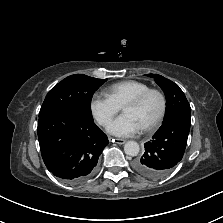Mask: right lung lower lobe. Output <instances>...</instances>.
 Returning <instances> with one entry per match:
<instances>
[{"instance_id": "obj_1", "label": "right lung lower lobe", "mask_w": 223, "mask_h": 223, "mask_svg": "<svg viewBox=\"0 0 223 223\" xmlns=\"http://www.w3.org/2000/svg\"><path fill=\"white\" fill-rule=\"evenodd\" d=\"M38 140L47 169L73 184L93 174L108 144L106 134L95 125L93 117L72 107L39 116Z\"/></svg>"}]
</instances>
